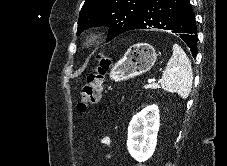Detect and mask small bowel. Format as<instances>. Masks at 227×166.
Wrapping results in <instances>:
<instances>
[{
    "label": "small bowel",
    "mask_w": 227,
    "mask_h": 166,
    "mask_svg": "<svg viewBox=\"0 0 227 166\" xmlns=\"http://www.w3.org/2000/svg\"><path fill=\"white\" fill-rule=\"evenodd\" d=\"M100 142L106 146H110L111 145V141L108 137H103L101 138Z\"/></svg>",
    "instance_id": "c3829d8e"
}]
</instances>
